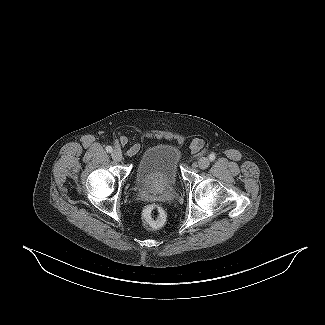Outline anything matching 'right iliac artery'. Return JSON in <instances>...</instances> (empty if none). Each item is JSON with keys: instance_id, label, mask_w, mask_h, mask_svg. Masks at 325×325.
<instances>
[{"instance_id": "82829eb1", "label": "right iliac artery", "mask_w": 325, "mask_h": 325, "mask_svg": "<svg viewBox=\"0 0 325 325\" xmlns=\"http://www.w3.org/2000/svg\"><path fill=\"white\" fill-rule=\"evenodd\" d=\"M112 150H113V149H112V147H111V146H107V147H106V151H107V152H109V153H110V152H112Z\"/></svg>"}]
</instances>
